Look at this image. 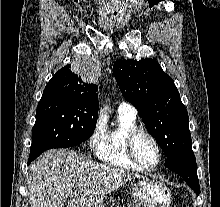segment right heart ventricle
Masks as SVG:
<instances>
[{
    "instance_id": "right-heart-ventricle-1",
    "label": "right heart ventricle",
    "mask_w": 220,
    "mask_h": 207,
    "mask_svg": "<svg viewBox=\"0 0 220 207\" xmlns=\"http://www.w3.org/2000/svg\"><path fill=\"white\" fill-rule=\"evenodd\" d=\"M136 127V117L119 112L117 126L106 130L104 139L95 150L96 156L114 167L141 170L129 159L126 151V136Z\"/></svg>"
}]
</instances>
